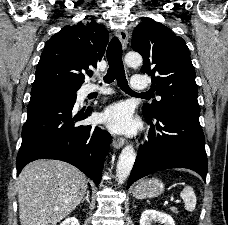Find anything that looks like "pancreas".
<instances>
[{
    "label": "pancreas",
    "instance_id": "obj_1",
    "mask_svg": "<svg viewBox=\"0 0 228 225\" xmlns=\"http://www.w3.org/2000/svg\"><path fill=\"white\" fill-rule=\"evenodd\" d=\"M172 213H178L177 209H174V207H171Z\"/></svg>",
    "mask_w": 228,
    "mask_h": 225
}]
</instances>
